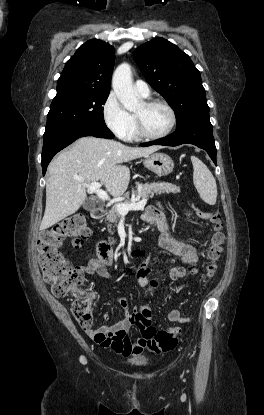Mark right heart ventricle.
Returning <instances> with one entry per match:
<instances>
[{"mask_svg": "<svg viewBox=\"0 0 264 415\" xmlns=\"http://www.w3.org/2000/svg\"><path fill=\"white\" fill-rule=\"evenodd\" d=\"M133 120H134V118H133ZM137 139H138V135H137L136 130H135V120H134L133 129H132L131 133L129 134V136L126 138V140L133 141V140H137Z\"/></svg>", "mask_w": 264, "mask_h": 415, "instance_id": "right-heart-ventricle-1", "label": "right heart ventricle"}]
</instances>
